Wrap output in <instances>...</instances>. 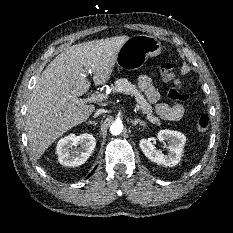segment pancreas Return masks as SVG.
<instances>
[{
    "label": "pancreas",
    "mask_w": 233,
    "mask_h": 233,
    "mask_svg": "<svg viewBox=\"0 0 233 233\" xmlns=\"http://www.w3.org/2000/svg\"><path fill=\"white\" fill-rule=\"evenodd\" d=\"M111 87L113 92H120L133 97L139 105L142 114L146 116V119L153 124L161 125L160 119L153 115V107L135 84H132L126 78H121L117 79Z\"/></svg>",
    "instance_id": "pancreas-1"
}]
</instances>
